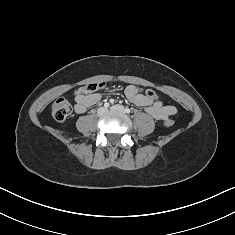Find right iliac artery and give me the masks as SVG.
<instances>
[{
	"label": "right iliac artery",
	"instance_id": "obj_1",
	"mask_svg": "<svg viewBox=\"0 0 235 235\" xmlns=\"http://www.w3.org/2000/svg\"><path fill=\"white\" fill-rule=\"evenodd\" d=\"M109 106H110L109 103H105V104H104V107H105V108H108Z\"/></svg>",
	"mask_w": 235,
	"mask_h": 235
}]
</instances>
